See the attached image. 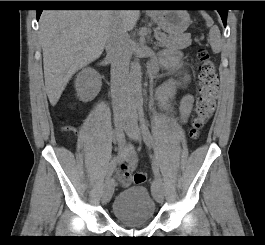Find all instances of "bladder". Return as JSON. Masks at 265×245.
<instances>
[{
    "mask_svg": "<svg viewBox=\"0 0 265 245\" xmlns=\"http://www.w3.org/2000/svg\"><path fill=\"white\" fill-rule=\"evenodd\" d=\"M112 213L121 225L137 227L153 221L156 205L149 190L141 184H136L119 193L114 200Z\"/></svg>",
    "mask_w": 265,
    "mask_h": 245,
    "instance_id": "obj_1",
    "label": "bladder"
}]
</instances>
